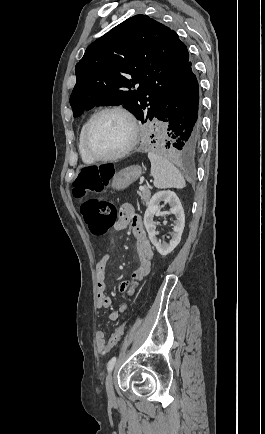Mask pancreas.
Returning a JSON list of instances; mask_svg holds the SVG:
<instances>
[{
    "mask_svg": "<svg viewBox=\"0 0 265 434\" xmlns=\"http://www.w3.org/2000/svg\"><path fill=\"white\" fill-rule=\"evenodd\" d=\"M144 190H141V200H143V204H149L150 200V190L147 186H143Z\"/></svg>",
    "mask_w": 265,
    "mask_h": 434,
    "instance_id": "cf45deb5",
    "label": "pancreas"
}]
</instances>
